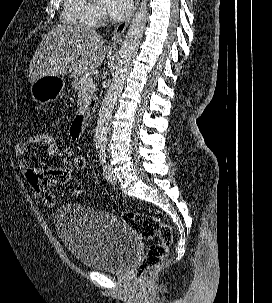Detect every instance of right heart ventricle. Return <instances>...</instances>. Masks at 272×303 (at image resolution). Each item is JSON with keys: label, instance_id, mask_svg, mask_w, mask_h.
<instances>
[{"label": "right heart ventricle", "instance_id": "obj_1", "mask_svg": "<svg viewBox=\"0 0 272 303\" xmlns=\"http://www.w3.org/2000/svg\"><path fill=\"white\" fill-rule=\"evenodd\" d=\"M91 0H63L62 21L68 25L87 27L93 25Z\"/></svg>", "mask_w": 272, "mask_h": 303}]
</instances>
